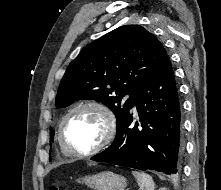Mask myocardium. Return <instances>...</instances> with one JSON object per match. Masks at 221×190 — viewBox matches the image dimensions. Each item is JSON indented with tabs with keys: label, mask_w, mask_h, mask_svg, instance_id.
I'll return each mask as SVG.
<instances>
[{
	"label": "myocardium",
	"mask_w": 221,
	"mask_h": 190,
	"mask_svg": "<svg viewBox=\"0 0 221 190\" xmlns=\"http://www.w3.org/2000/svg\"><path fill=\"white\" fill-rule=\"evenodd\" d=\"M85 108L95 109L103 115L104 120H105V131H104L101 141L97 145H95L94 147L88 150L79 151L70 147L66 143L64 139V127L68 118L73 113H75L78 110L85 109ZM116 131H117L116 117L112 109L107 104L100 102V101H95V100L84 101L70 108L66 112V114L62 117L59 123V127H58V139H59L60 146L68 155L77 156V157H87V156L94 155L104 150L113 141L116 135Z\"/></svg>",
	"instance_id": "myocardium-1"
}]
</instances>
